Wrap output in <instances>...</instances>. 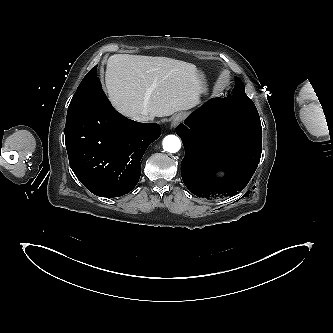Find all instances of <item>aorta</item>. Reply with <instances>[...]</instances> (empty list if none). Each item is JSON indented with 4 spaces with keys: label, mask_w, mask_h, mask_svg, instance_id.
Instances as JSON below:
<instances>
[{
    "label": "aorta",
    "mask_w": 333,
    "mask_h": 333,
    "mask_svg": "<svg viewBox=\"0 0 333 333\" xmlns=\"http://www.w3.org/2000/svg\"><path fill=\"white\" fill-rule=\"evenodd\" d=\"M181 148L180 139L175 135H168L163 139V149L169 153H176Z\"/></svg>",
    "instance_id": "1"
}]
</instances>
